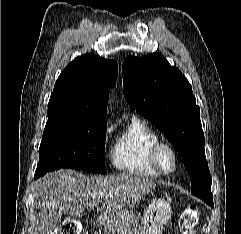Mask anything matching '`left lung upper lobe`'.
Masks as SVG:
<instances>
[{"mask_svg":"<svg viewBox=\"0 0 241 234\" xmlns=\"http://www.w3.org/2000/svg\"><path fill=\"white\" fill-rule=\"evenodd\" d=\"M129 106L154 124L176 148L192 178L191 193L213 206L200 108L185 76L160 54L129 56L122 66Z\"/></svg>","mask_w":241,"mask_h":234,"instance_id":"5c2ea615","label":"left lung upper lobe"}]
</instances>
